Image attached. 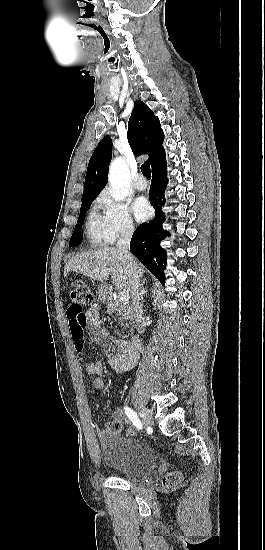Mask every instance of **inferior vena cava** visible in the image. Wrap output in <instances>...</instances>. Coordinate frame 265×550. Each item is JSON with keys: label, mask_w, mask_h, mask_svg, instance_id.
Wrapping results in <instances>:
<instances>
[{"label": "inferior vena cava", "mask_w": 265, "mask_h": 550, "mask_svg": "<svg viewBox=\"0 0 265 550\" xmlns=\"http://www.w3.org/2000/svg\"><path fill=\"white\" fill-rule=\"evenodd\" d=\"M133 231V224L128 223L127 225H125V227L121 231V236L117 241L116 246L128 267V272L131 279V295L134 319L136 322L138 333H143L145 328V321L140 298V278L134 258L129 251V245L131 237L133 235Z\"/></svg>", "instance_id": "obj_1"}]
</instances>
